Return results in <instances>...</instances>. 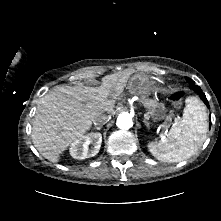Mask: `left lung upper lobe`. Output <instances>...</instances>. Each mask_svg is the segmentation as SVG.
I'll use <instances>...</instances> for the list:
<instances>
[{
	"label": "left lung upper lobe",
	"instance_id": "obj_1",
	"mask_svg": "<svg viewBox=\"0 0 221 221\" xmlns=\"http://www.w3.org/2000/svg\"><path fill=\"white\" fill-rule=\"evenodd\" d=\"M187 80L190 82V83H194V81L190 78H187Z\"/></svg>",
	"mask_w": 221,
	"mask_h": 221
}]
</instances>
